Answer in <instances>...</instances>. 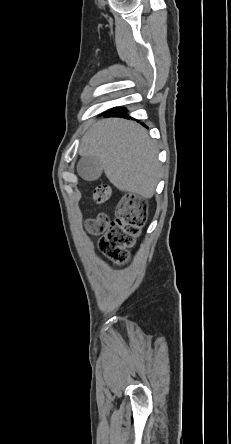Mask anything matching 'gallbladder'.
<instances>
[{
	"label": "gallbladder",
	"instance_id": "1",
	"mask_svg": "<svg viewBox=\"0 0 231 444\" xmlns=\"http://www.w3.org/2000/svg\"><path fill=\"white\" fill-rule=\"evenodd\" d=\"M102 166L95 156H83L77 165L78 174L87 181L97 180L102 174Z\"/></svg>",
	"mask_w": 231,
	"mask_h": 444
}]
</instances>
